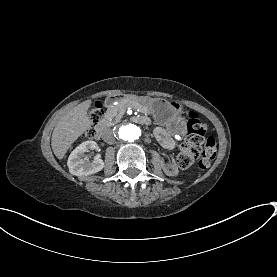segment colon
Instances as JSON below:
<instances>
[{"instance_id": "1", "label": "colon", "mask_w": 277, "mask_h": 277, "mask_svg": "<svg viewBox=\"0 0 277 277\" xmlns=\"http://www.w3.org/2000/svg\"><path fill=\"white\" fill-rule=\"evenodd\" d=\"M103 112L102 105H95L91 110V121L94 123L99 122L103 117ZM98 132V125L91 124L85 130L84 137L87 140H93ZM215 152V138L206 135V125L204 122L197 113L190 112L187 121V135L176 157V165L181 169H186L198 162L206 167L212 162Z\"/></svg>"}]
</instances>
